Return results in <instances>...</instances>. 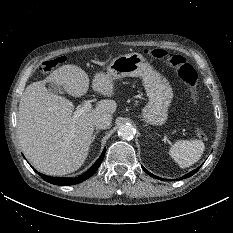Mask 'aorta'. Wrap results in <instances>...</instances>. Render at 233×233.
<instances>
[{
	"mask_svg": "<svg viewBox=\"0 0 233 233\" xmlns=\"http://www.w3.org/2000/svg\"><path fill=\"white\" fill-rule=\"evenodd\" d=\"M135 128L131 124H123L118 128V135L123 140H131L135 135Z\"/></svg>",
	"mask_w": 233,
	"mask_h": 233,
	"instance_id": "aorta-1",
	"label": "aorta"
}]
</instances>
